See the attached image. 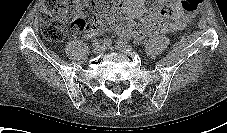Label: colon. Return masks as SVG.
<instances>
[{"mask_svg":"<svg viewBox=\"0 0 227 133\" xmlns=\"http://www.w3.org/2000/svg\"><path fill=\"white\" fill-rule=\"evenodd\" d=\"M203 0H180L186 13L201 9ZM118 12L107 0H49L39 14L41 32L51 42H60L68 28L77 32L108 27Z\"/></svg>","mask_w":227,"mask_h":133,"instance_id":"5ec220e1","label":"colon"}]
</instances>
